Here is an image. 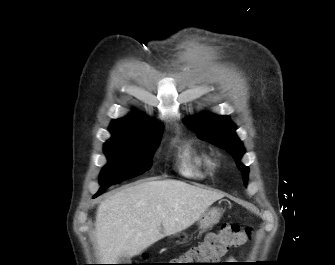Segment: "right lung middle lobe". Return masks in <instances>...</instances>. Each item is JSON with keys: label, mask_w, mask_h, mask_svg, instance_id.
Here are the masks:
<instances>
[{"label": "right lung middle lobe", "mask_w": 335, "mask_h": 265, "mask_svg": "<svg viewBox=\"0 0 335 265\" xmlns=\"http://www.w3.org/2000/svg\"><path fill=\"white\" fill-rule=\"evenodd\" d=\"M111 133L112 138L104 144L108 164L100 173L101 187L94 197L105 192L109 186L140 175L151 167L154 150L162 137V127Z\"/></svg>", "instance_id": "dd1d6c3e"}]
</instances>
